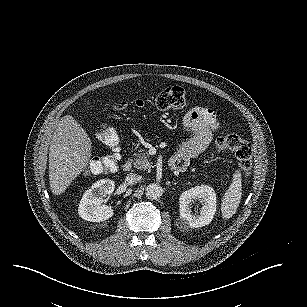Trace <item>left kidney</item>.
Returning a JSON list of instances; mask_svg holds the SVG:
<instances>
[{"instance_id": "left-kidney-1", "label": "left kidney", "mask_w": 307, "mask_h": 307, "mask_svg": "<svg viewBox=\"0 0 307 307\" xmlns=\"http://www.w3.org/2000/svg\"><path fill=\"white\" fill-rule=\"evenodd\" d=\"M194 200L202 203L200 214H193L191 204ZM216 212V193L208 185L195 186L182 192L179 197V213L184 228H198L211 223Z\"/></svg>"}]
</instances>
